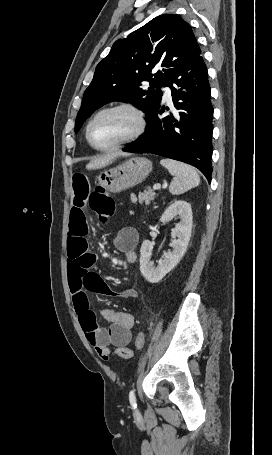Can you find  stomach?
Segmentation results:
<instances>
[{
  "mask_svg": "<svg viewBox=\"0 0 272 455\" xmlns=\"http://www.w3.org/2000/svg\"><path fill=\"white\" fill-rule=\"evenodd\" d=\"M152 171V162L145 157H133L123 164L101 172L98 184L113 193L129 189L146 179Z\"/></svg>",
  "mask_w": 272,
  "mask_h": 455,
  "instance_id": "0dacf381",
  "label": "stomach"
}]
</instances>
